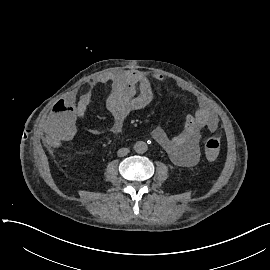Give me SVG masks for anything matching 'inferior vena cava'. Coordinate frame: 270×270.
<instances>
[{
  "instance_id": "602c4592",
  "label": "inferior vena cava",
  "mask_w": 270,
  "mask_h": 270,
  "mask_svg": "<svg viewBox=\"0 0 270 270\" xmlns=\"http://www.w3.org/2000/svg\"><path fill=\"white\" fill-rule=\"evenodd\" d=\"M129 153V149L128 148H121L118 150L117 155L119 157H123L126 156Z\"/></svg>"
}]
</instances>
